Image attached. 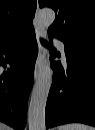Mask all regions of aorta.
I'll list each match as a JSON object with an SVG mask.
<instances>
[{
	"instance_id": "obj_1",
	"label": "aorta",
	"mask_w": 95,
	"mask_h": 130,
	"mask_svg": "<svg viewBox=\"0 0 95 130\" xmlns=\"http://www.w3.org/2000/svg\"><path fill=\"white\" fill-rule=\"evenodd\" d=\"M37 18L44 28L50 27L55 20V12L50 8L39 10ZM52 84V69L44 66L36 79L28 108L29 130H46L45 108Z\"/></svg>"
}]
</instances>
